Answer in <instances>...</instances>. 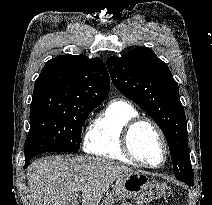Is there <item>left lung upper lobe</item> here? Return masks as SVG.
I'll use <instances>...</instances> for the list:
<instances>
[{
	"label": "left lung upper lobe",
	"mask_w": 212,
	"mask_h": 205,
	"mask_svg": "<svg viewBox=\"0 0 212 205\" xmlns=\"http://www.w3.org/2000/svg\"><path fill=\"white\" fill-rule=\"evenodd\" d=\"M107 67L115 87L138 104L163 131L176 178L194 183L187 121L178 84L167 64L150 48L137 47L122 57H109Z\"/></svg>",
	"instance_id": "5c2ea615"
}]
</instances>
